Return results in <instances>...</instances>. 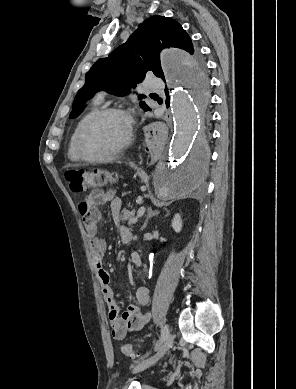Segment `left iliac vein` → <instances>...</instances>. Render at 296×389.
<instances>
[{
  "instance_id": "4c4485c4",
  "label": "left iliac vein",
  "mask_w": 296,
  "mask_h": 389,
  "mask_svg": "<svg viewBox=\"0 0 296 389\" xmlns=\"http://www.w3.org/2000/svg\"><path fill=\"white\" fill-rule=\"evenodd\" d=\"M172 343H173V335L168 332L166 337L162 340L161 344L159 345L157 353L148 359L142 360L133 369V372L137 373V372H140V371L145 370L146 368L152 366L168 351V349L171 347Z\"/></svg>"
}]
</instances>
